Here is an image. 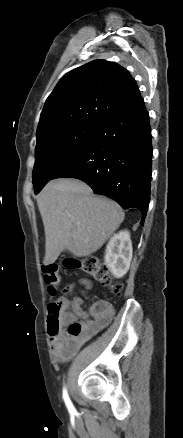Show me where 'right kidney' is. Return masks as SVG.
Masks as SVG:
<instances>
[{
    "mask_svg": "<svg viewBox=\"0 0 183 438\" xmlns=\"http://www.w3.org/2000/svg\"><path fill=\"white\" fill-rule=\"evenodd\" d=\"M132 252L129 231H120L110 238L106 247L105 264L116 278H121L127 273Z\"/></svg>",
    "mask_w": 183,
    "mask_h": 438,
    "instance_id": "ca27d5eb",
    "label": "right kidney"
}]
</instances>
